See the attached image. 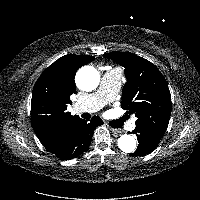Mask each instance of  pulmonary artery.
Listing matches in <instances>:
<instances>
[{
    "label": "pulmonary artery",
    "mask_w": 200,
    "mask_h": 200,
    "mask_svg": "<svg viewBox=\"0 0 200 200\" xmlns=\"http://www.w3.org/2000/svg\"><path fill=\"white\" fill-rule=\"evenodd\" d=\"M121 88V76L118 70L106 71L101 79L99 89L75 105L78 111L96 112L111 102ZM135 122L131 121L129 128L133 129Z\"/></svg>",
    "instance_id": "e3ab8cb5"
}]
</instances>
